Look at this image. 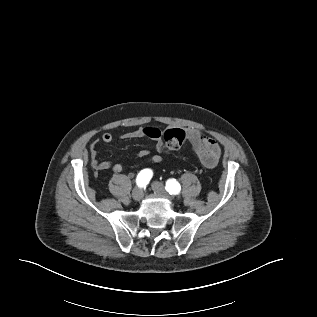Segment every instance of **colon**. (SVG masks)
<instances>
[{
  "instance_id": "5ec220e1",
  "label": "colon",
  "mask_w": 317,
  "mask_h": 317,
  "mask_svg": "<svg viewBox=\"0 0 317 317\" xmlns=\"http://www.w3.org/2000/svg\"><path fill=\"white\" fill-rule=\"evenodd\" d=\"M164 151H175L180 149L187 140V134L179 128H172L164 131L161 134Z\"/></svg>"
}]
</instances>
